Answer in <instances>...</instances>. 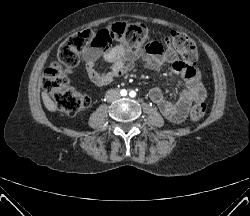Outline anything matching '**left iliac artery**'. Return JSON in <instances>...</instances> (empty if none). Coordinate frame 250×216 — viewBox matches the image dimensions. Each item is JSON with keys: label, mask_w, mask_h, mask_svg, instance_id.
Segmentation results:
<instances>
[{"label": "left iliac artery", "mask_w": 250, "mask_h": 216, "mask_svg": "<svg viewBox=\"0 0 250 216\" xmlns=\"http://www.w3.org/2000/svg\"><path fill=\"white\" fill-rule=\"evenodd\" d=\"M129 95H130V97H135L136 93H135V91H131V92L129 93Z\"/></svg>", "instance_id": "44dca946"}]
</instances>
